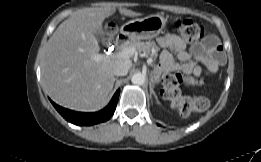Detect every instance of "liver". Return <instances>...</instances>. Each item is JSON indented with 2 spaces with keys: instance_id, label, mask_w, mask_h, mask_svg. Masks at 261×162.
<instances>
[{
  "instance_id": "1",
  "label": "liver",
  "mask_w": 261,
  "mask_h": 162,
  "mask_svg": "<svg viewBox=\"0 0 261 162\" xmlns=\"http://www.w3.org/2000/svg\"><path fill=\"white\" fill-rule=\"evenodd\" d=\"M115 11L110 3L83 9L62 22L48 40L41 66L42 82L57 104L85 112L105 104L114 85L115 64L128 60L92 59L100 50L95 33L103 34L104 20ZM119 12L129 17L140 15L126 8Z\"/></svg>"
}]
</instances>
